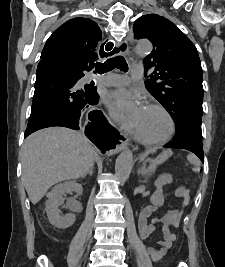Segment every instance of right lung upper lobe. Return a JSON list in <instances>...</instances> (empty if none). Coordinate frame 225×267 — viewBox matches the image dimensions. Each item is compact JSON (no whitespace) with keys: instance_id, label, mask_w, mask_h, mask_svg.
<instances>
[{"instance_id":"obj_1","label":"right lung upper lobe","mask_w":225,"mask_h":267,"mask_svg":"<svg viewBox=\"0 0 225 267\" xmlns=\"http://www.w3.org/2000/svg\"><path fill=\"white\" fill-rule=\"evenodd\" d=\"M101 30L95 21L77 17L62 24L47 40L41 59L65 61L82 71L93 69L98 59ZM102 48L100 47V55Z\"/></svg>"}]
</instances>
